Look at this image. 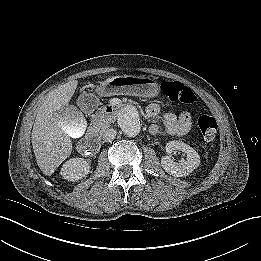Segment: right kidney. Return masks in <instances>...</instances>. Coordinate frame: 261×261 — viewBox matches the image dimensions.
Segmentation results:
<instances>
[{"instance_id":"1","label":"right kidney","mask_w":261,"mask_h":261,"mask_svg":"<svg viewBox=\"0 0 261 261\" xmlns=\"http://www.w3.org/2000/svg\"><path fill=\"white\" fill-rule=\"evenodd\" d=\"M84 129L80 131L82 134ZM90 172V163L83 158H72L67 160L61 168V175L68 181H78Z\"/></svg>"}]
</instances>
